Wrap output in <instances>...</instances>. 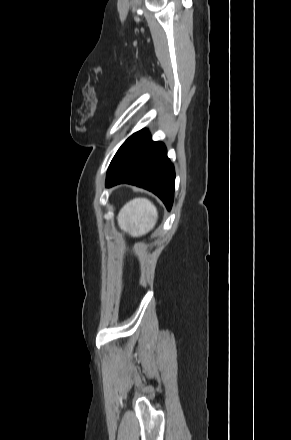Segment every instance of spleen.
I'll return each instance as SVG.
<instances>
[{
    "mask_svg": "<svg viewBox=\"0 0 291 440\" xmlns=\"http://www.w3.org/2000/svg\"><path fill=\"white\" fill-rule=\"evenodd\" d=\"M158 219V212L146 198H134L120 210L117 221L121 230L132 237H140L151 231Z\"/></svg>",
    "mask_w": 291,
    "mask_h": 440,
    "instance_id": "obj_1",
    "label": "spleen"
}]
</instances>
